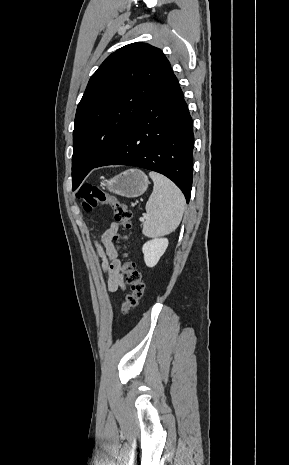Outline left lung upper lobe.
<instances>
[{"label": "left lung upper lobe", "mask_w": 289, "mask_h": 465, "mask_svg": "<svg viewBox=\"0 0 289 465\" xmlns=\"http://www.w3.org/2000/svg\"><path fill=\"white\" fill-rule=\"evenodd\" d=\"M173 74L162 51L141 42L118 49L101 64L76 111L72 190L113 147L148 97Z\"/></svg>", "instance_id": "obj_1"}]
</instances>
